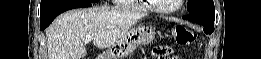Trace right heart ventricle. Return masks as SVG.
<instances>
[{
    "instance_id": "1",
    "label": "right heart ventricle",
    "mask_w": 261,
    "mask_h": 59,
    "mask_svg": "<svg viewBox=\"0 0 261 59\" xmlns=\"http://www.w3.org/2000/svg\"><path fill=\"white\" fill-rule=\"evenodd\" d=\"M118 2L120 4H122V5H125V6H133V5L136 4L135 3L136 1H134V0H118ZM141 10H148V9L147 8H143Z\"/></svg>"
}]
</instances>
